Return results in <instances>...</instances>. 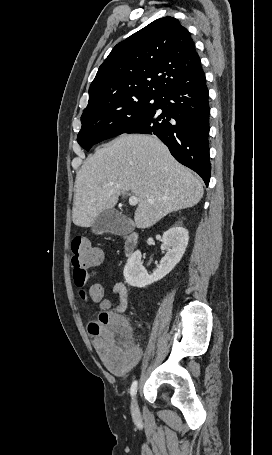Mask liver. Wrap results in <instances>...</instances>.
I'll return each instance as SVG.
<instances>
[{
	"instance_id": "liver-1",
	"label": "liver",
	"mask_w": 272,
	"mask_h": 455,
	"mask_svg": "<svg viewBox=\"0 0 272 455\" xmlns=\"http://www.w3.org/2000/svg\"><path fill=\"white\" fill-rule=\"evenodd\" d=\"M138 198L134 220L149 228L167 214L195 206L204 190L156 137L123 134L99 148L81 166L75 181L73 223L92 226L125 192Z\"/></svg>"
}]
</instances>
